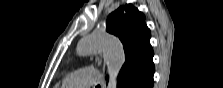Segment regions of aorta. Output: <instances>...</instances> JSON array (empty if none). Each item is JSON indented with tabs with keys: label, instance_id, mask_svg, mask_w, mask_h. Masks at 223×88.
<instances>
[{
	"label": "aorta",
	"instance_id": "762f6f07",
	"mask_svg": "<svg viewBox=\"0 0 223 88\" xmlns=\"http://www.w3.org/2000/svg\"><path fill=\"white\" fill-rule=\"evenodd\" d=\"M97 51L103 53L110 77L108 86L115 88L117 75L125 62L123 47L116 38L104 33H92L86 36L77 47V53L80 56L90 55Z\"/></svg>",
	"mask_w": 223,
	"mask_h": 88
}]
</instances>
